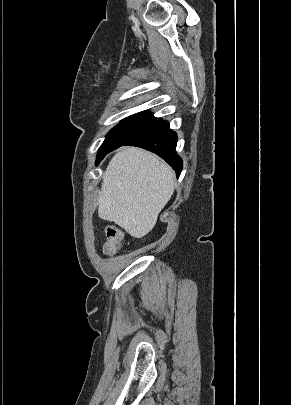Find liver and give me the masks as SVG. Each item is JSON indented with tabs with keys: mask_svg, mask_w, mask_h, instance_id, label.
Masks as SVG:
<instances>
[{
	"mask_svg": "<svg viewBox=\"0 0 291 405\" xmlns=\"http://www.w3.org/2000/svg\"><path fill=\"white\" fill-rule=\"evenodd\" d=\"M174 187L175 174L159 157L140 148H124L103 175L98 215L141 238L154 228Z\"/></svg>",
	"mask_w": 291,
	"mask_h": 405,
	"instance_id": "1",
	"label": "liver"
}]
</instances>
